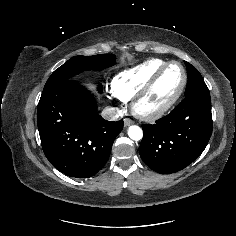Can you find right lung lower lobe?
<instances>
[{"label":"right lung lower lobe","instance_id":"obj_1","mask_svg":"<svg viewBox=\"0 0 236 236\" xmlns=\"http://www.w3.org/2000/svg\"><path fill=\"white\" fill-rule=\"evenodd\" d=\"M37 123L49 162L75 178H89L103 168L123 129L122 120L103 119L93 96L73 79L43 89Z\"/></svg>","mask_w":236,"mask_h":236}]
</instances>
